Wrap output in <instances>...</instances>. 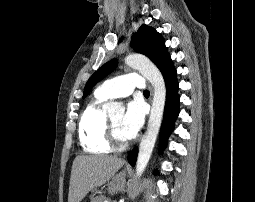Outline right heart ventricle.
<instances>
[{
  "label": "right heart ventricle",
  "instance_id": "1",
  "mask_svg": "<svg viewBox=\"0 0 255 202\" xmlns=\"http://www.w3.org/2000/svg\"><path fill=\"white\" fill-rule=\"evenodd\" d=\"M105 100L95 93L94 99L87 105L80 118V142L89 153H109L112 149L106 139L107 116L102 109Z\"/></svg>",
  "mask_w": 255,
  "mask_h": 202
}]
</instances>
